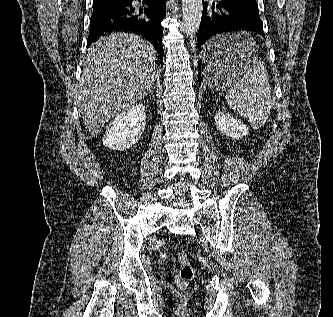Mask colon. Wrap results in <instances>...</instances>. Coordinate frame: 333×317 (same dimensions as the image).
<instances>
[{"instance_id": "1", "label": "colon", "mask_w": 333, "mask_h": 317, "mask_svg": "<svg viewBox=\"0 0 333 317\" xmlns=\"http://www.w3.org/2000/svg\"><path fill=\"white\" fill-rule=\"evenodd\" d=\"M179 269L175 284L179 289H185L194 279L195 271L185 251L178 252Z\"/></svg>"}]
</instances>
